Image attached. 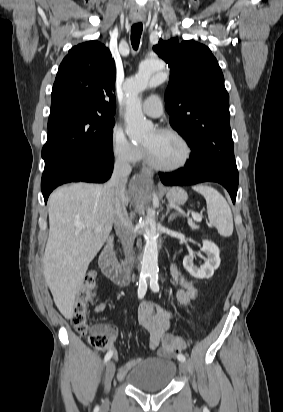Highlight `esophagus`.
I'll list each match as a JSON object with an SVG mask.
<instances>
[{
	"label": "esophagus",
	"instance_id": "esophagus-1",
	"mask_svg": "<svg viewBox=\"0 0 283 412\" xmlns=\"http://www.w3.org/2000/svg\"><path fill=\"white\" fill-rule=\"evenodd\" d=\"M147 175L150 177L151 175H150V173H147Z\"/></svg>",
	"mask_w": 283,
	"mask_h": 412
}]
</instances>
